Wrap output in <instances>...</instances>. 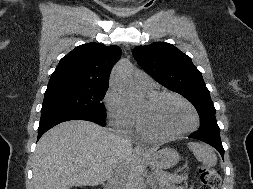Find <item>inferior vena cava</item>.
I'll return each instance as SVG.
<instances>
[{
  "label": "inferior vena cava",
  "instance_id": "inferior-vena-cava-1",
  "mask_svg": "<svg viewBox=\"0 0 253 189\" xmlns=\"http://www.w3.org/2000/svg\"><path fill=\"white\" fill-rule=\"evenodd\" d=\"M113 138L120 149L132 150L131 141L121 131H115ZM127 174L128 168L125 165H114L108 175L107 189H125Z\"/></svg>",
  "mask_w": 253,
  "mask_h": 189
}]
</instances>
